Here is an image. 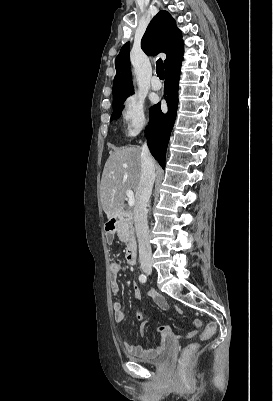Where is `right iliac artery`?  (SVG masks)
<instances>
[{"mask_svg":"<svg viewBox=\"0 0 273 401\" xmlns=\"http://www.w3.org/2000/svg\"><path fill=\"white\" fill-rule=\"evenodd\" d=\"M146 280H147V277H146L144 274H141V275L139 276V281H140V282L145 283Z\"/></svg>","mask_w":273,"mask_h":401,"instance_id":"1","label":"right iliac artery"}]
</instances>
